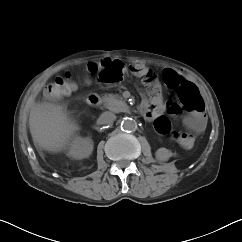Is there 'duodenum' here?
<instances>
[{"mask_svg": "<svg viewBox=\"0 0 242 242\" xmlns=\"http://www.w3.org/2000/svg\"><path fill=\"white\" fill-rule=\"evenodd\" d=\"M87 102L92 107L100 106L102 103L101 96L98 93H90L87 95ZM140 111L144 112V106L140 107Z\"/></svg>", "mask_w": 242, "mask_h": 242, "instance_id": "410a0bca", "label": "duodenum"}]
</instances>
